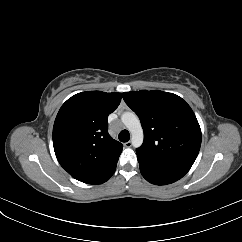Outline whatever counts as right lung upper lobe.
<instances>
[{
    "label": "right lung upper lobe",
    "instance_id": "right-lung-upper-lobe-1",
    "mask_svg": "<svg viewBox=\"0 0 242 242\" xmlns=\"http://www.w3.org/2000/svg\"><path fill=\"white\" fill-rule=\"evenodd\" d=\"M120 93L87 91L69 98L53 127V146L60 165L87 182L118 159L123 145L108 133L107 118L120 104Z\"/></svg>",
    "mask_w": 242,
    "mask_h": 242
}]
</instances>
